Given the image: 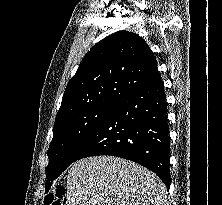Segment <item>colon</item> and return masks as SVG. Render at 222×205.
I'll list each match as a JSON object with an SVG mask.
<instances>
[{"label":"colon","instance_id":"obj_1","mask_svg":"<svg viewBox=\"0 0 222 205\" xmlns=\"http://www.w3.org/2000/svg\"><path fill=\"white\" fill-rule=\"evenodd\" d=\"M65 190L62 186H56L54 190L46 195L45 205H63Z\"/></svg>","mask_w":222,"mask_h":205}]
</instances>
